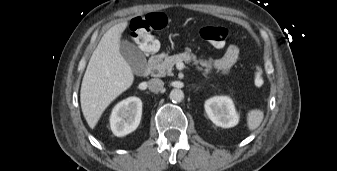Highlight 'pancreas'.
<instances>
[{
  "instance_id": "1",
  "label": "pancreas",
  "mask_w": 337,
  "mask_h": 171,
  "mask_svg": "<svg viewBox=\"0 0 337 171\" xmlns=\"http://www.w3.org/2000/svg\"><path fill=\"white\" fill-rule=\"evenodd\" d=\"M182 61H184L185 63L193 61L194 65L200 64L201 66H207L206 61H203L201 59L198 60L196 55L189 52H184L172 56L167 55L158 56L153 64V72L158 77H163L165 75H172L173 66L178 62ZM197 69L201 71L202 67L197 66ZM208 71H209L208 69H205L203 74L206 75Z\"/></svg>"
}]
</instances>
